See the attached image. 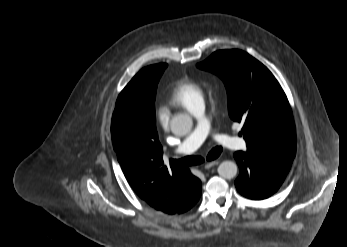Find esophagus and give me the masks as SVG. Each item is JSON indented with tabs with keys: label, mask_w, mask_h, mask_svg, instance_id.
I'll list each match as a JSON object with an SVG mask.
<instances>
[{
	"label": "esophagus",
	"mask_w": 347,
	"mask_h": 247,
	"mask_svg": "<svg viewBox=\"0 0 347 247\" xmlns=\"http://www.w3.org/2000/svg\"><path fill=\"white\" fill-rule=\"evenodd\" d=\"M219 164V161L218 160H214V161H211V162H208L205 164V169H209L213 166H216Z\"/></svg>",
	"instance_id": "1"
}]
</instances>
